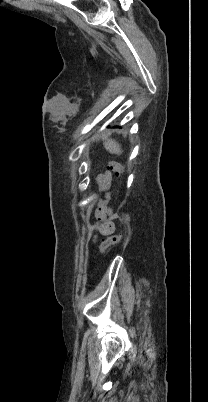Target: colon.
<instances>
[{"mask_svg":"<svg viewBox=\"0 0 208 402\" xmlns=\"http://www.w3.org/2000/svg\"><path fill=\"white\" fill-rule=\"evenodd\" d=\"M108 166L111 171L116 172L119 175H123L125 172V167L115 160L110 161ZM123 237V233L108 236L100 244V252L105 254L108 248L118 245L122 241Z\"/></svg>","mask_w":208,"mask_h":402,"instance_id":"1","label":"colon"}]
</instances>
